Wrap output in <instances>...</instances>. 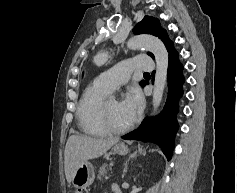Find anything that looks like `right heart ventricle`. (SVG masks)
<instances>
[{
  "instance_id": "right-heart-ventricle-1",
  "label": "right heart ventricle",
  "mask_w": 237,
  "mask_h": 193,
  "mask_svg": "<svg viewBox=\"0 0 237 193\" xmlns=\"http://www.w3.org/2000/svg\"><path fill=\"white\" fill-rule=\"evenodd\" d=\"M110 93L96 80L85 88L77 107V120L83 133L91 136L107 134L99 123L98 112L101 101Z\"/></svg>"
}]
</instances>
